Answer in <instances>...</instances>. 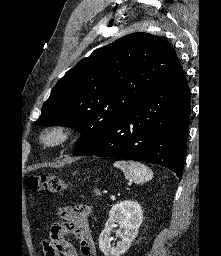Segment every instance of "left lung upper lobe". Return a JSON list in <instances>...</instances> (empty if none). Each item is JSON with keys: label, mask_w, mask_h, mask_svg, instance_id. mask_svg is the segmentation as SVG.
Segmentation results:
<instances>
[{"label": "left lung upper lobe", "mask_w": 221, "mask_h": 256, "mask_svg": "<svg viewBox=\"0 0 221 256\" xmlns=\"http://www.w3.org/2000/svg\"><path fill=\"white\" fill-rule=\"evenodd\" d=\"M181 70L165 38L132 33L81 60L54 86L38 125L76 128L75 151L95 141L146 96Z\"/></svg>", "instance_id": "1"}]
</instances>
